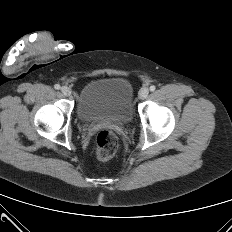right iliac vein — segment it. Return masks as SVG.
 <instances>
[{"label": "right iliac vein", "mask_w": 232, "mask_h": 232, "mask_svg": "<svg viewBox=\"0 0 232 232\" xmlns=\"http://www.w3.org/2000/svg\"><path fill=\"white\" fill-rule=\"evenodd\" d=\"M61 92L65 96H69L71 94V89L67 86H62L61 87Z\"/></svg>", "instance_id": "obj_1"}]
</instances>
